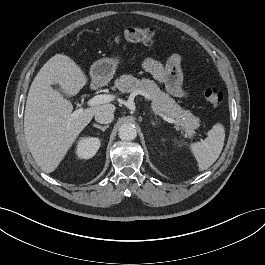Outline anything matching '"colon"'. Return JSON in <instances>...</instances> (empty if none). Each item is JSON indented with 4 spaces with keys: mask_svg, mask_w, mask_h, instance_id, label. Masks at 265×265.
Listing matches in <instances>:
<instances>
[{
    "mask_svg": "<svg viewBox=\"0 0 265 265\" xmlns=\"http://www.w3.org/2000/svg\"><path fill=\"white\" fill-rule=\"evenodd\" d=\"M154 37L155 32L152 29L131 26L126 28L121 36L114 37L113 41L115 43L127 41L133 43L150 44L153 42ZM204 98L213 107H218L222 104L224 95L219 89L215 87H208L204 91Z\"/></svg>",
    "mask_w": 265,
    "mask_h": 265,
    "instance_id": "5ec220e1",
    "label": "colon"
}]
</instances>
